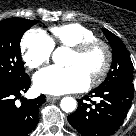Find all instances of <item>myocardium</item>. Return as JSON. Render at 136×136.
I'll return each mask as SVG.
<instances>
[{
  "mask_svg": "<svg viewBox=\"0 0 136 136\" xmlns=\"http://www.w3.org/2000/svg\"><path fill=\"white\" fill-rule=\"evenodd\" d=\"M95 47H101L104 50L105 60L100 69L92 74V76L89 78L90 83L92 84H96L98 81L103 79L111 68L113 62V52L110 45L102 39L94 38L83 41L71 47V51L77 55H84Z\"/></svg>",
  "mask_w": 136,
  "mask_h": 136,
  "instance_id": "obj_1",
  "label": "myocardium"
}]
</instances>
